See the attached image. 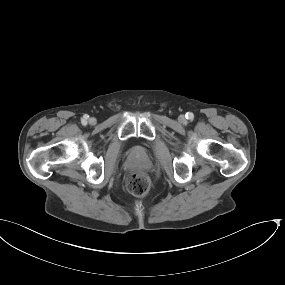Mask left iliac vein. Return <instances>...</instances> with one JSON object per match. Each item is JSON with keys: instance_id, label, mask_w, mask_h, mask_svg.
Segmentation results:
<instances>
[{"instance_id": "1", "label": "left iliac vein", "mask_w": 285, "mask_h": 285, "mask_svg": "<svg viewBox=\"0 0 285 285\" xmlns=\"http://www.w3.org/2000/svg\"><path fill=\"white\" fill-rule=\"evenodd\" d=\"M179 121L180 122H184L185 121V116L184 115H180L179 116Z\"/></svg>"}]
</instances>
